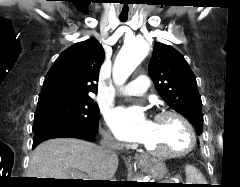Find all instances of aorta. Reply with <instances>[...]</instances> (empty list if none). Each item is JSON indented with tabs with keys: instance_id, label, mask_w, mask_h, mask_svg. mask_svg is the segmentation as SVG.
Listing matches in <instances>:
<instances>
[{
	"instance_id": "aorta-1",
	"label": "aorta",
	"mask_w": 240,
	"mask_h": 187,
	"mask_svg": "<svg viewBox=\"0 0 240 187\" xmlns=\"http://www.w3.org/2000/svg\"><path fill=\"white\" fill-rule=\"evenodd\" d=\"M147 42L139 37L124 44L113 67V78L118 85L123 84L148 53Z\"/></svg>"
}]
</instances>
